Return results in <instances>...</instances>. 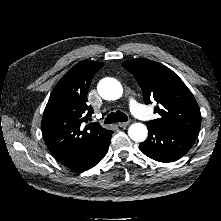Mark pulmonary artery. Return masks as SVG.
Listing matches in <instances>:
<instances>
[{
  "mask_svg": "<svg viewBox=\"0 0 221 221\" xmlns=\"http://www.w3.org/2000/svg\"><path fill=\"white\" fill-rule=\"evenodd\" d=\"M129 106H130L132 113L135 116H137L141 119H146L148 117V114L145 111V109L143 108V106L140 103H138L135 99H133V98L130 99Z\"/></svg>",
  "mask_w": 221,
  "mask_h": 221,
  "instance_id": "1",
  "label": "pulmonary artery"
}]
</instances>
